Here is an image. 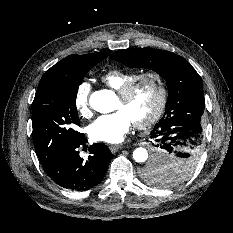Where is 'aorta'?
I'll use <instances>...</instances> for the list:
<instances>
[{
	"label": "aorta",
	"instance_id": "762f6f07",
	"mask_svg": "<svg viewBox=\"0 0 233 233\" xmlns=\"http://www.w3.org/2000/svg\"><path fill=\"white\" fill-rule=\"evenodd\" d=\"M115 95L109 90H99L91 94L89 103L90 106L97 112L109 113L114 109ZM133 159L136 162L142 163L148 159V152L145 148H136L133 152Z\"/></svg>",
	"mask_w": 233,
	"mask_h": 233
}]
</instances>
